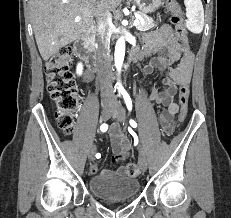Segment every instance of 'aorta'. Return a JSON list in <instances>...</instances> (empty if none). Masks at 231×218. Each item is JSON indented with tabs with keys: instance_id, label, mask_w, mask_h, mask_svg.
<instances>
[{
	"instance_id": "aorta-1",
	"label": "aorta",
	"mask_w": 231,
	"mask_h": 218,
	"mask_svg": "<svg viewBox=\"0 0 231 218\" xmlns=\"http://www.w3.org/2000/svg\"><path fill=\"white\" fill-rule=\"evenodd\" d=\"M125 56V40L123 37H120L116 43L115 46V54H114V60H115V66L118 72L121 71L123 61ZM119 88L122 89V85L120 82L117 83Z\"/></svg>"
}]
</instances>
